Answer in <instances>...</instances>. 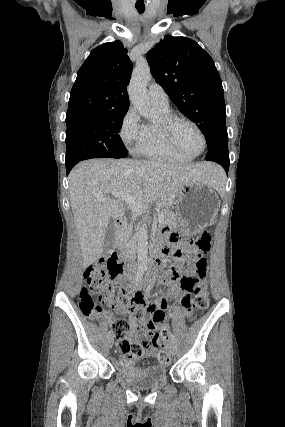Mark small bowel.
I'll return each mask as SVG.
<instances>
[{
    "instance_id": "small-bowel-1",
    "label": "small bowel",
    "mask_w": 285,
    "mask_h": 427,
    "mask_svg": "<svg viewBox=\"0 0 285 427\" xmlns=\"http://www.w3.org/2000/svg\"><path fill=\"white\" fill-rule=\"evenodd\" d=\"M174 241V240H172ZM193 260H201L203 261L204 258L202 255H195L191 258V262ZM182 267H186L185 261L181 262ZM187 273L190 274H197L198 270L191 264L189 267L186 268ZM131 292L135 295L136 301L138 303V307L141 311H137L136 313L132 314L130 317V326H131V336H136L138 334L139 328L146 327V328H153L156 325L163 324L164 318L163 314L168 309L169 306V300L174 299L177 301H181L183 297H185L186 292L178 285H175L171 288V292L168 295L160 294L155 302L149 303L147 301V296L145 294H142L140 292H136L134 290H131ZM148 312L151 315V319H147L144 312ZM174 312L178 315L179 318H181L184 315H190L192 313V309H186L181 304L176 306L174 308ZM162 314L160 317L159 315ZM154 347H151L147 350H145L141 355L134 358L131 362L141 361L149 357L150 355L154 354ZM131 362H128L124 358L120 360L121 365H128Z\"/></svg>"
}]
</instances>
